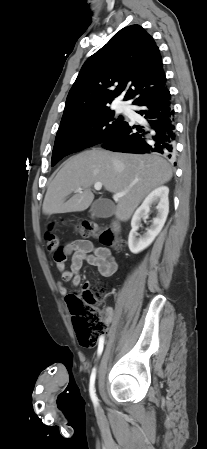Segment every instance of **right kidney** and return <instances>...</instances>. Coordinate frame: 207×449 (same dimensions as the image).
I'll return each mask as SVG.
<instances>
[{
  "mask_svg": "<svg viewBox=\"0 0 207 449\" xmlns=\"http://www.w3.org/2000/svg\"><path fill=\"white\" fill-rule=\"evenodd\" d=\"M169 189L166 186H160L153 190L143 201L141 206L135 211L132 220L128 246L132 253L137 254L146 249L156 238V236L162 230L169 212ZM153 204H157V215L153 218L152 224L146 229V232L140 236L137 233L141 225V220L145 219L149 212L150 207Z\"/></svg>",
  "mask_w": 207,
  "mask_h": 449,
  "instance_id": "1",
  "label": "right kidney"
}]
</instances>
